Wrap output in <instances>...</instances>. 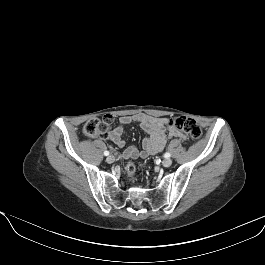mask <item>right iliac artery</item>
<instances>
[{
  "mask_svg": "<svg viewBox=\"0 0 265 265\" xmlns=\"http://www.w3.org/2000/svg\"><path fill=\"white\" fill-rule=\"evenodd\" d=\"M104 155H105V156H108V155H109V152H108V151H105V152H104Z\"/></svg>",
  "mask_w": 265,
  "mask_h": 265,
  "instance_id": "82829eb1",
  "label": "right iliac artery"
}]
</instances>
